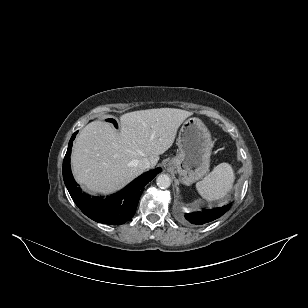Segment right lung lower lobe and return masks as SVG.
<instances>
[{"mask_svg": "<svg viewBox=\"0 0 308 308\" xmlns=\"http://www.w3.org/2000/svg\"><path fill=\"white\" fill-rule=\"evenodd\" d=\"M76 134L77 132L72 135L69 141L68 150L63 162V179L73 201L86 216L96 222L113 225L125 223L134 216L144 186L162 170L158 168L146 172L123 190L106 198H91L89 195L81 192L71 173L70 155L72 142Z\"/></svg>", "mask_w": 308, "mask_h": 308, "instance_id": "obj_1", "label": "right lung lower lobe"}]
</instances>
